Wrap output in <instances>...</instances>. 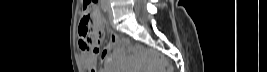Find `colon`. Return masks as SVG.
<instances>
[{
  "label": "colon",
  "instance_id": "1",
  "mask_svg": "<svg viewBox=\"0 0 267 72\" xmlns=\"http://www.w3.org/2000/svg\"><path fill=\"white\" fill-rule=\"evenodd\" d=\"M95 4L96 1L87 0L82 8L79 37L80 46L85 51H96L104 38L102 30L95 25L98 19ZM166 71H170V69Z\"/></svg>",
  "mask_w": 267,
  "mask_h": 72
}]
</instances>
